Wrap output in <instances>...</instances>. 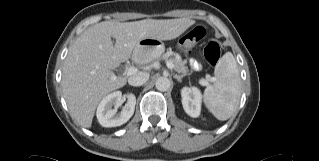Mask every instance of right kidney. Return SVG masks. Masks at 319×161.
<instances>
[{
	"label": "right kidney",
	"mask_w": 319,
	"mask_h": 161,
	"mask_svg": "<svg viewBox=\"0 0 319 161\" xmlns=\"http://www.w3.org/2000/svg\"><path fill=\"white\" fill-rule=\"evenodd\" d=\"M122 102V93L115 91L102 99L97 108V119L103 127H116L126 123L134 114L136 97L127 95V103L121 113L117 114V107ZM114 106V108H112Z\"/></svg>",
	"instance_id": "right-kidney-1"
}]
</instances>
